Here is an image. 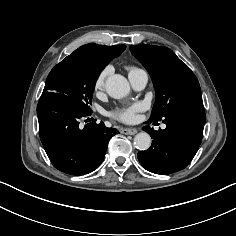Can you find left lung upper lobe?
<instances>
[{
  "mask_svg": "<svg viewBox=\"0 0 236 236\" xmlns=\"http://www.w3.org/2000/svg\"><path fill=\"white\" fill-rule=\"evenodd\" d=\"M130 50L154 84L156 101L150 120H162L169 111L188 102L202 103L196 76L172 50L155 45H135Z\"/></svg>",
  "mask_w": 236,
  "mask_h": 236,
  "instance_id": "left-lung-upper-lobe-1",
  "label": "left lung upper lobe"
}]
</instances>
